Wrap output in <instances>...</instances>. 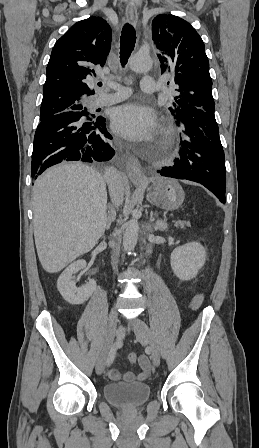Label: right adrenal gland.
Wrapping results in <instances>:
<instances>
[{"instance_id": "right-adrenal-gland-1", "label": "right adrenal gland", "mask_w": 259, "mask_h": 448, "mask_svg": "<svg viewBox=\"0 0 259 448\" xmlns=\"http://www.w3.org/2000/svg\"><path fill=\"white\" fill-rule=\"evenodd\" d=\"M115 216H116V214H115L113 208H110V206H109L108 216H107V226H106L105 230H110V226H111L112 222H114Z\"/></svg>"}]
</instances>
